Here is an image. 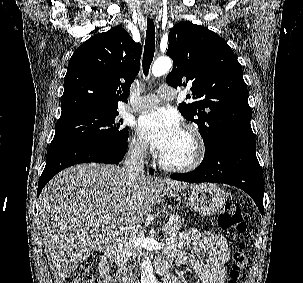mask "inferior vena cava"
Returning <instances> with one entry per match:
<instances>
[{"label": "inferior vena cava", "instance_id": "obj_1", "mask_svg": "<svg viewBox=\"0 0 303 283\" xmlns=\"http://www.w3.org/2000/svg\"><path fill=\"white\" fill-rule=\"evenodd\" d=\"M146 146L143 144L131 147L126 155L123 168L128 172V178L133 180L137 176H144V156ZM129 273L132 275L134 265L129 266ZM131 283H137L134 278L130 279Z\"/></svg>", "mask_w": 303, "mask_h": 283}]
</instances>
